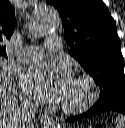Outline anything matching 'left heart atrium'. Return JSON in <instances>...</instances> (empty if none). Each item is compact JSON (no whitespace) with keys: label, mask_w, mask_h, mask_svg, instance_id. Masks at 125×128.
<instances>
[{"label":"left heart atrium","mask_w":125,"mask_h":128,"mask_svg":"<svg viewBox=\"0 0 125 128\" xmlns=\"http://www.w3.org/2000/svg\"><path fill=\"white\" fill-rule=\"evenodd\" d=\"M19 81L28 96L44 103L64 101L73 84L70 69L63 62L31 65L21 71Z\"/></svg>","instance_id":"39dd6f15"}]
</instances>
